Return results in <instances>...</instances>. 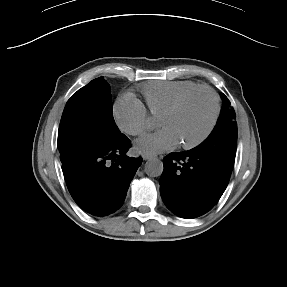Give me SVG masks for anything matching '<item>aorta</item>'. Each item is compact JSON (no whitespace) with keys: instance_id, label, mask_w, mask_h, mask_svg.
I'll return each instance as SVG.
<instances>
[{"instance_id":"1","label":"aorta","mask_w":287,"mask_h":287,"mask_svg":"<svg viewBox=\"0 0 287 287\" xmlns=\"http://www.w3.org/2000/svg\"><path fill=\"white\" fill-rule=\"evenodd\" d=\"M163 169V162L157 158L150 159L145 164V173L150 177L161 176Z\"/></svg>"}]
</instances>
